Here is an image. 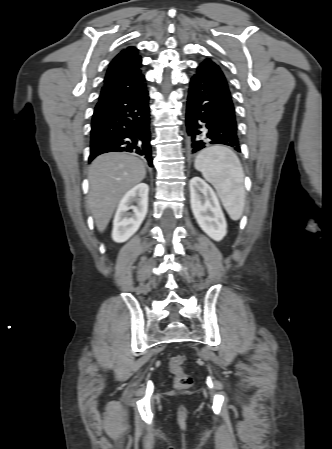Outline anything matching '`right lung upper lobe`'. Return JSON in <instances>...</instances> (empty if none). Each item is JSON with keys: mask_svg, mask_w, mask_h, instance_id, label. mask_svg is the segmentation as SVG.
I'll return each instance as SVG.
<instances>
[{"mask_svg": "<svg viewBox=\"0 0 332 449\" xmlns=\"http://www.w3.org/2000/svg\"><path fill=\"white\" fill-rule=\"evenodd\" d=\"M141 56L135 47L122 50L110 63L99 100L131 96L145 88Z\"/></svg>", "mask_w": 332, "mask_h": 449, "instance_id": "cb5924a9", "label": "right lung upper lobe"}]
</instances>
